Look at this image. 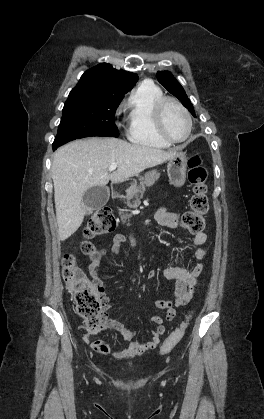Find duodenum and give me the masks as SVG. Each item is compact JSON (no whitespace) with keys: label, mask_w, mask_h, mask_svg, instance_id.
Instances as JSON below:
<instances>
[{"label":"duodenum","mask_w":264,"mask_h":419,"mask_svg":"<svg viewBox=\"0 0 264 419\" xmlns=\"http://www.w3.org/2000/svg\"><path fill=\"white\" fill-rule=\"evenodd\" d=\"M124 193V186L122 184H114L112 186V197L117 199Z\"/></svg>","instance_id":"1"}]
</instances>
